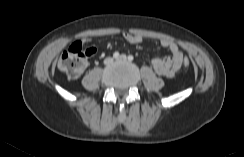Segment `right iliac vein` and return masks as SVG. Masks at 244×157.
I'll list each match as a JSON object with an SVG mask.
<instances>
[{"label": "right iliac vein", "mask_w": 244, "mask_h": 157, "mask_svg": "<svg viewBox=\"0 0 244 157\" xmlns=\"http://www.w3.org/2000/svg\"><path fill=\"white\" fill-rule=\"evenodd\" d=\"M113 62V59L111 57H107L105 60H104V64L106 65H109Z\"/></svg>", "instance_id": "right-iliac-vein-1"}]
</instances>
